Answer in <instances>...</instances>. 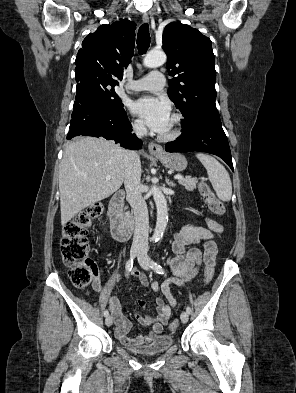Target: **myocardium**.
Listing matches in <instances>:
<instances>
[{"instance_id":"f54148a6","label":"myocardium","mask_w":296,"mask_h":393,"mask_svg":"<svg viewBox=\"0 0 296 393\" xmlns=\"http://www.w3.org/2000/svg\"><path fill=\"white\" fill-rule=\"evenodd\" d=\"M173 127L171 131L167 134H159L158 138L161 141H172L177 139L182 132V116L179 113L172 114Z\"/></svg>"}]
</instances>
